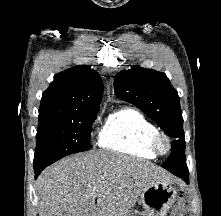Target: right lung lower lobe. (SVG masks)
<instances>
[{
	"label": "right lung lower lobe",
	"mask_w": 221,
	"mask_h": 216,
	"mask_svg": "<svg viewBox=\"0 0 221 216\" xmlns=\"http://www.w3.org/2000/svg\"><path fill=\"white\" fill-rule=\"evenodd\" d=\"M47 167L46 165H39V166H34V170H35V178H37V176L41 173V171Z\"/></svg>",
	"instance_id": "98d812e1"
}]
</instances>
